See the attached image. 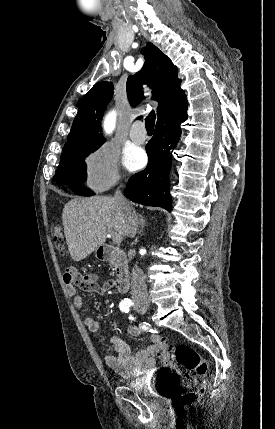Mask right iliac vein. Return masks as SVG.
I'll return each instance as SVG.
<instances>
[{"label": "right iliac vein", "mask_w": 275, "mask_h": 429, "mask_svg": "<svg viewBox=\"0 0 275 429\" xmlns=\"http://www.w3.org/2000/svg\"><path fill=\"white\" fill-rule=\"evenodd\" d=\"M141 310L146 311L148 308V305H142L139 307Z\"/></svg>", "instance_id": "63e3f726"}]
</instances>
